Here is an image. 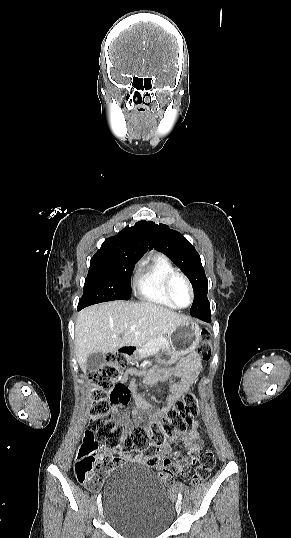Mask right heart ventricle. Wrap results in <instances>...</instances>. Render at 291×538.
<instances>
[{
	"label": "right heart ventricle",
	"mask_w": 291,
	"mask_h": 538,
	"mask_svg": "<svg viewBox=\"0 0 291 538\" xmlns=\"http://www.w3.org/2000/svg\"><path fill=\"white\" fill-rule=\"evenodd\" d=\"M174 272L176 269L165 254H151L136 272L135 290L138 296L152 304L175 308L165 293V280Z\"/></svg>",
	"instance_id": "e07e8e85"
}]
</instances>
